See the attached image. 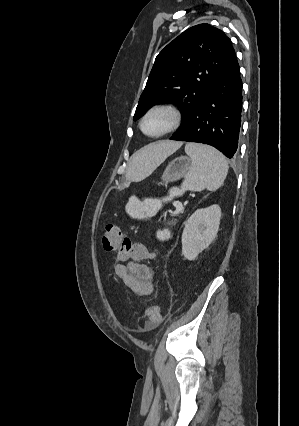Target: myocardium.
Returning a JSON list of instances; mask_svg holds the SVG:
<instances>
[{
    "instance_id": "1",
    "label": "myocardium",
    "mask_w": 299,
    "mask_h": 426,
    "mask_svg": "<svg viewBox=\"0 0 299 426\" xmlns=\"http://www.w3.org/2000/svg\"><path fill=\"white\" fill-rule=\"evenodd\" d=\"M158 111H165L167 113H169L172 117V123L171 125L164 131L158 133V134H148L145 132L144 130V122L146 121V119L153 113L158 112ZM182 122V114L180 112V110L173 104L170 103H159V104H155L153 106H151L143 115V117L141 118L139 127L141 132L150 138H160L163 136H166L168 134L173 133L174 131H176Z\"/></svg>"
}]
</instances>
